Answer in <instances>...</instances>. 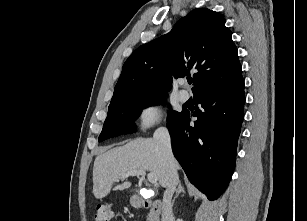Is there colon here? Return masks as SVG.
<instances>
[{"mask_svg":"<svg viewBox=\"0 0 307 221\" xmlns=\"http://www.w3.org/2000/svg\"><path fill=\"white\" fill-rule=\"evenodd\" d=\"M113 213L111 207L107 203L99 205L94 214V221H111Z\"/></svg>","mask_w":307,"mask_h":221,"instance_id":"5ec220e1","label":"colon"}]
</instances>
